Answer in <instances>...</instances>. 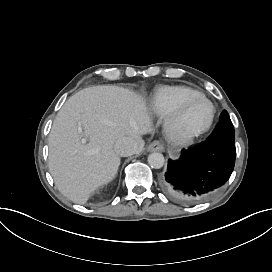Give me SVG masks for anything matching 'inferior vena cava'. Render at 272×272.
<instances>
[{
	"instance_id": "602c4592",
	"label": "inferior vena cava",
	"mask_w": 272,
	"mask_h": 272,
	"mask_svg": "<svg viewBox=\"0 0 272 272\" xmlns=\"http://www.w3.org/2000/svg\"><path fill=\"white\" fill-rule=\"evenodd\" d=\"M114 151L122 157L131 156L138 151V144L130 137H123L114 145Z\"/></svg>"
}]
</instances>
